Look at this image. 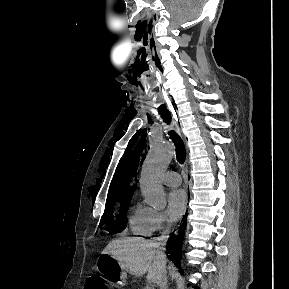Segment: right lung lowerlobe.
<instances>
[{
	"label": "right lung lower lobe",
	"instance_id": "obj_1",
	"mask_svg": "<svg viewBox=\"0 0 289 289\" xmlns=\"http://www.w3.org/2000/svg\"><path fill=\"white\" fill-rule=\"evenodd\" d=\"M185 228L186 220H184V224L180 227L179 231L171 233L167 243V253H169L167 256L177 267H180L182 242Z\"/></svg>",
	"mask_w": 289,
	"mask_h": 289
}]
</instances>
